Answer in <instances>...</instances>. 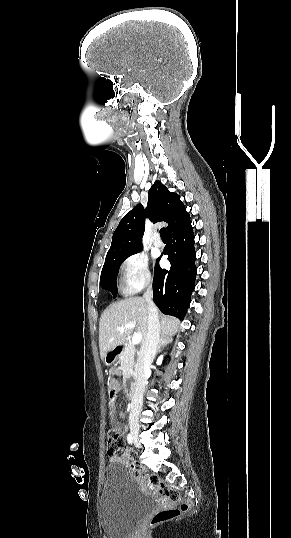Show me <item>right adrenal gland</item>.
Listing matches in <instances>:
<instances>
[{
    "mask_svg": "<svg viewBox=\"0 0 291 538\" xmlns=\"http://www.w3.org/2000/svg\"><path fill=\"white\" fill-rule=\"evenodd\" d=\"M171 341H172L171 337L166 336V335H161L157 351H160L162 346L169 344Z\"/></svg>",
    "mask_w": 291,
    "mask_h": 538,
    "instance_id": "obj_1",
    "label": "right adrenal gland"
}]
</instances>
